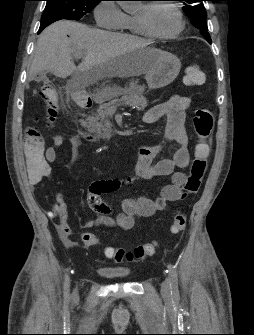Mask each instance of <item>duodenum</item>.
I'll return each mask as SVG.
<instances>
[{
    "mask_svg": "<svg viewBox=\"0 0 254 335\" xmlns=\"http://www.w3.org/2000/svg\"><path fill=\"white\" fill-rule=\"evenodd\" d=\"M81 105H82V107H85V108L90 107L92 105V99L90 97L83 98L81 100ZM84 135L89 136V137L91 136L87 133H84Z\"/></svg>",
    "mask_w": 254,
    "mask_h": 335,
    "instance_id": "duodenum-1",
    "label": "duodenum"
}]
</instances>
